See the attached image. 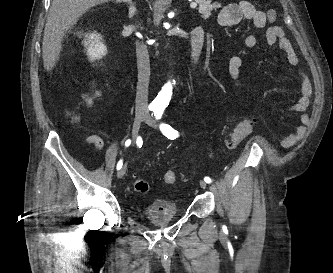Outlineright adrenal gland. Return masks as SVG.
Instances as JSON below:
<instances>
[{
    "instance_id": "2a0ac1e0",
    "label": "right adrenal gland",
    "mask_w": 333,
    "mask_h": 273,
    "mask_svg": "<svg viewBox=\"0 0 333 273\" xmlns=\"http://www.w3.org/2000/svg\"><path fill=\"white\" fill-rule=\"evenodd\" d=\"M117 3H126L128 4V17L132 18L136 13L137 9L132 0H116Z\"/></svg>"
}]
</instances>
